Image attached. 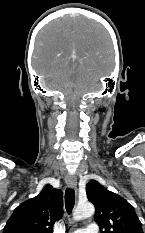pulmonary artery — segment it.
Returning <instances> with one entry per match:
<instances>
[{
  "mask_svg": "<svg viewBox=\"0 0 145 233\" xmlns=\"http://www.w3.org/2000/svg\"><path fill=\"white\" fill-rule=\"evenodd\" d=\"M74 233H99V229L95 223H90L84 229H78Z\"/></svg>",
  "mask_w": 145,
  "mask_h": 233,
  "instance_id": "e3ab8cb5",
  "label": "pulmonary artery"
}]
</instances>
